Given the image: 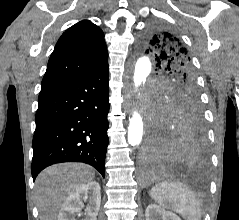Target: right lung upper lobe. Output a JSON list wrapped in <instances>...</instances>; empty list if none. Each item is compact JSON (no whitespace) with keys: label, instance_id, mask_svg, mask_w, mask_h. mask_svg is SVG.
Returning <instances> with one entry per match:
<instances>
[{"label":"right lung upper lobe","instance_id":"1","mask_svg":"<svg viewBox=\"0 0 239 220\" xmlns=\"http://www.w3.org/2000/svg\"><path fill=\"white\" fill-rule=\"evenodd\" d=\"M104 34L91 21L83 20L67 29L48 61L41 89L81 78L108 63Z\"/></svg>","mask_w":239,"mask_h":220}]
</instances>
